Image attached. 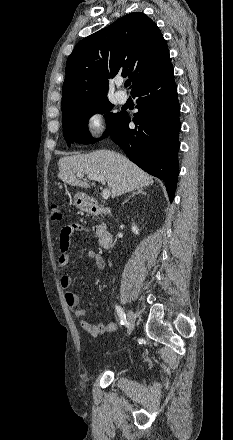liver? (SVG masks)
Wrapping results in <instances>:
<instances>
[{"label": "liver", "instance_id": "obj_1", "mask_svg": "<svg viewBox=\"0 0 233 440\" xmlns=\"http://www.w3.org/2000/svg\"><path fill=\"white\" fill-rule=\"evenodd\" d=\"M58 178L71 186L88 188L79 174L100 175L105 178L112 197L152 185L153 177L125 156L111 150H98L86 155L66 156L58 162Z\"/></svg>", "mask_w": 233, "mask_h": 440}]
</instances>
